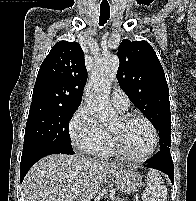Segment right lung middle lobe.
Returning a JSON list of instances; mask_svg holds the SVG:
<instances>
[{
  "label": "right lung middle lobe",
  "instance_id": "obj_1",
  "mask_svg": "<svg viewBox=\"0 0 196 201\" xmlns=\"http://www.w3.org/2000/svg\"><path fill=\"white\" fill-rule=\"evenodd\" d=\"M79 105L59 106L31 103L26 123L23 151L37 145L72 149L68 123Z\"/></svg>",
  "mask_w": 196,
  "mask_h": 201
}]
</instances>
